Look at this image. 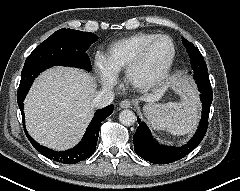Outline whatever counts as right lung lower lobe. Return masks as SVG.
I'll return each mask as SVG.
<instances>
[{
    "mask_svg": "<svg viewBox=\"0 0 240 191\" xmlns=\"http://www.w3.org/2000/svg\"><path fill=\"white\" fill-rule=\"evenodd\" d=\"M47 68L49 67H40L36 69L22 71L21 73V81L17 93L18 94L17 102L21 110L23 124H25L23 101L33 83V80ZM113 108H114L113 105H109L103 109L97 110L79 144L74 148L66 151L58 152L47 147L41 146L33 138L30 137L26 129L25 132L27 133V137L31 144L33 145V147L45 157L64 164H75L82 160L87 159L94 153V151L96 150L97 140L99 136V127L101 125V122L113 112Z\"/></svg>",
    "mask_w": 240,
    "mask_h": 191,
    "instance_id": "obj_1",
    "label": "right lung lower lobe"
}]
</instances>
